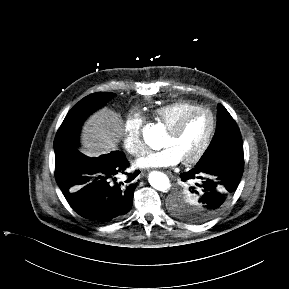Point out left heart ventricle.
I'll return each instance as SVG.
<instances>
[{
	"label": "left heart ventricle",
	"mask_w": 289,
	"mask_h": 289,
	"mask_svg": "<svg viewBox=\"0 0 289 289\" xmlns=\"http://www.w3.org/2000/svg\"><path fill=\"white\" fill-rule=\"evenodd\" d=\"M211 128V118L207 113L193 115L177 135L165 134L162 146L172 148L181 160L191 157L201 147Z\"/></svg>",
	"instance_id": "1"
}]
</instances>
